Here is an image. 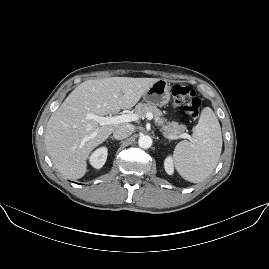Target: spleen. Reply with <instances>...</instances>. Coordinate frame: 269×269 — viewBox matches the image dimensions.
Listing matches in <instances>:
<instances>
[{"instance_id":"3e777b00","label":"spleen","mask_w":269,"mask_h":269,"mask_svg":"<svg viewBox=\"0 0 269 269\" xmlns=\"http://www.w3.org/2000/svg\"><path fill=\"white\" fill-rule=\"evenodd\" d=\"M222 151L219 121L210 107H205L193 129L192 141L179 142L173 153L175 167L187 181L199 183L215 169Z\"/></svg>"}]
</instances>
